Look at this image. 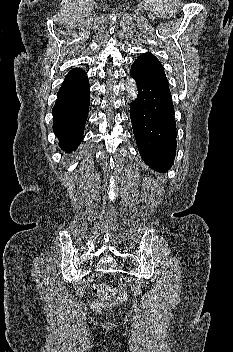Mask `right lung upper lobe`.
<instances>
[{"instance_id": "right-lung-upper-lobe-1", "label": "right lung upper lobe", "mask_w": 233, "mask_h": 352, "mask_svg": "<svg viewBox=\"0 0 233 352\" xmlns=\"http://www.w3.org/2000/svg\"><path fill=\"white\" fill-rule=\"evenodd\" d=\"M83 70H81V69H72L68 74H67V76L66 77H68V76H73V75H75V74H77V73H80V72H82Z\"/></svg>"}]
</instances>
